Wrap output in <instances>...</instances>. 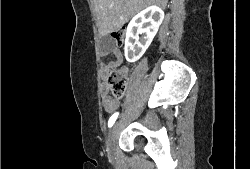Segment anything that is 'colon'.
I'll return each mask as SVG.
<instances>
[{
  "label": "colon",
  "mask_w": 250,
  "mask_h": 169,
  "mask_svg": "<svg viewBox=\"0 0 250 169\" xmlns=\"http://www.w3.org/2000/svg\"><path fill=\"white\" fill-rule=\"evenodd\" d=\"M124 30L116 31L112 34V43L118 47H122L125 43ZM107 83L111 95L116 99L124 97L127 89V73L123 69L111 71L107 77Z\"/></svg>",
  "instance_id": "5ec220e1"
}]
</instances>
